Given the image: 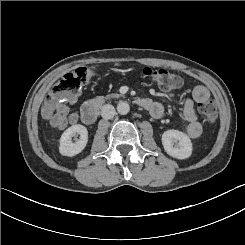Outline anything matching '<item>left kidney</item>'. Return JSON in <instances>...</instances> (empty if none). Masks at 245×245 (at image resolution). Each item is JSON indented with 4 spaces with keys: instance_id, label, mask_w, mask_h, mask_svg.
<instances>
[{
    "instance_id": "left-kidney-1",
    "label": "left kidney",
    "mask_w": 245,
    "mask_h": 245,
    "mask_svg": "<svg viewBox=\"0 0 245 245\" xmlns=\"http://www.w3.org/2000/svg\"><path fill=\"white\" fill-rule=\"evenodd\" d=\"M162 144L166 153L177 159L191 156L192 143L187 134L178 130H167L162 135Z\"/></svg>"
}]
</instances>
